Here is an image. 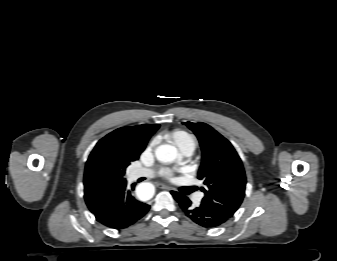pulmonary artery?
Here are the masks:
<instances>
[{
    "label": "pulmonary artery",
    "instance_id": "1",
    "mask_svg": "<svg viewBox=\"0 0 337 261\" xmlns=\"http://www.w3.org/2000/svg\"><path fill=\"white\" fill-rule=\"evenodd\" d=\"M195 150V146H187L183 149H181L182 153L185 155V156H191L193 154ZM155 174L154 170L152 169H149V168H137V169H134L132 172H131V178L132 179H138L140 177H153ZM202 199V194H197L194 198V201L196 203L200 202V200Z\"/></svg>",
    "mask_w": 337,
    "mask_h": 261
}]
</instances>
